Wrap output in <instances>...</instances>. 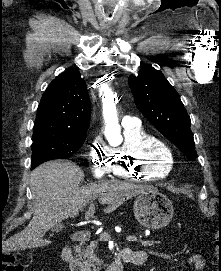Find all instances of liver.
<instances>
[{"instance_id": "liver-1", "label": "liver", "mask_w": 221, "mask_h": 271, "mask_svg": "<svg viewBox=\"0 0 221 271\" xmlns=\"http://www.w3.org/2000/svg\"><path fill=\"white\" fill-rule=\"evenodd\" d=\"M83 177V169L71 161H46L33 169L30 175L33 217L23 231L5 241V249L17 251L52 243L44 239L46 231L67 217H77L79 209L92 197H98L100 203L118 207L129 191L133 195L137 193L135 185L116 179H98L79 187Z\"/></svg>"}]
</instances>
